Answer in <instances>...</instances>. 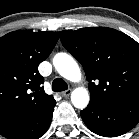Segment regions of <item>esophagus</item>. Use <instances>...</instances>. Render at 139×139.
I'll return each instance as SVG.
<instances>
[{"instance_id":"obj_1","label":"esophagus","mask_w":139,"mask_h":139,"mask_svg":"<svg viewBox=\"0 0 139 139\" xmlns=\"http://www.w3.org/2000/svg\"><path fill=\"white\" fill-rule=\"evenodd\" d=\"M61 94L63 97H69L71 94V89H67V90L63 91Z\"/></svg>"}]
</instances>
